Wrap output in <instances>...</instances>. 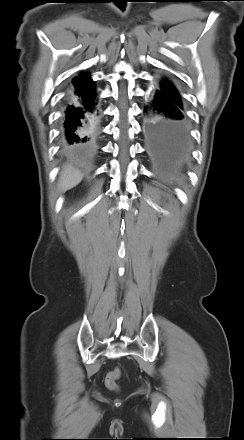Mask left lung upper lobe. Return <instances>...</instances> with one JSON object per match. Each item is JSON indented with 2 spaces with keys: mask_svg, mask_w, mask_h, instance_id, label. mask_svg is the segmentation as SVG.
<instances>
[{
  "mask_svg": "<svg viewBox=\"0 0 244 440\" xmlns=\"http://www.w3.org/2000/svg\"><path fill=\"white\" fill-rule=\"evenodd\" d=\"M163 91H165L167 94H169L170 96L174 97L176 100H178L179 102L182 103L180 95L177 91V89L175 88V86L167 79H163L160 82V86H159Z\"/></svg>",
  "mask_w": 244,
  "mask_h": 440,
  "instance_id": "5c2ea615",
  "label": "left lung upper lobe"
}]
</instances>
